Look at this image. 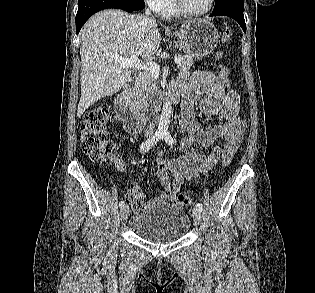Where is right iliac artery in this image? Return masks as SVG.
Here are the masks:
<instances>
[{
	"mask_svg": "<svg viewBox=\"0 0 315 293\" xmlns=\"http://www.w3.org/2000/svg\"><path fill=\"white\" fill-rule=\"evenodd\" d=\"M160 139H162V133L156 132L151 138L144 141L140 146V152L146 153L148 152ZM125 205V201L121 200L119 202V206L123 207Z\"/></svg>",
	"mask_w": 315,
	"mask_h": 293,
	"instance_id": "82829eb1",
	"label": "right iliac artery"
}]
</instances>
